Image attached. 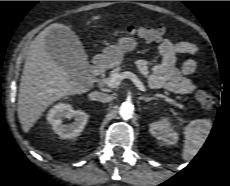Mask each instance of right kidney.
<instances>
[{"label":"right kidney","instance_id":"right-kidney-1","mask_svg":"<svg viewBox=\"0 0 230 186\" xmlns=\"http://www.w3.org/2000/svg\"><path fill=\"white\" fill-rule=\"evenodd\" d=\"M66 118H74L73 123L63 124V120ZM47 120L60 138L72 139L83 131L88 121V115L81 110H73L69 104L59 103L49 111Z\"/></svg>","mask_w":230,"mask_h":186}]
</instances>
